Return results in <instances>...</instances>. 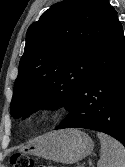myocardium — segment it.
Here are the masks:
<instances>
[{
	"label": "myocardium",
	"instance_id": "1",
	"mask_svg": "<svg viewBox=\"0 0 125 167\" xmlns=\"http://www.w3.org/2000/svg\"><path fill=\"white\" fill-rule=\"evenodd\" d=\"M53 116V110L50 107H43L34 117V121L39 126H44Z\"/></svg>",
	"mask_w": 125,
	"mask_h": 167
}]
</instances>
